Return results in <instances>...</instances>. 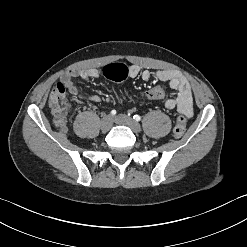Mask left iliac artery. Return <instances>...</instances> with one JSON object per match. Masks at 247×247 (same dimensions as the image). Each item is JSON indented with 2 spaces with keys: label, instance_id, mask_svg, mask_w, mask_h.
I'll list each match as a JSON object with an SVG mask.
<instances>
[{
  "label": "left iliac artery",
  "instance_id": "1",
  "mask_svg": "<svg viewBox=\"0 0 247 247\" xmlns=\"http://www.w3.org/2000/svg\"><path fill=\"white\" fill-rule=\"evenodd\" d=\"M133 119H134L135 121H140V120H141V117H140L139 115H134V116H133Z\"/></svg>",
  "mask_w": 247,
  "mask_h": 247
}]
</instances>
